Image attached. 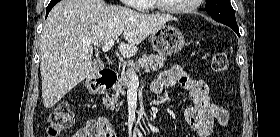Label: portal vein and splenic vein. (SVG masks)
<instances>
[{
    "instance_id": "1",
    "label": "portal vein and splenic vein",
    "mask_w": 280,
    "mask_h": 137,
    "mask_svg": "<svg viewBox=\"0 0 280 137\" xmlns=\"http://www.w3.org/2000/svg\"><path fill=\"white\" fill-rule=\"evenodd\" d=\"M114 43H115L114 40H111V41L105 43L103 46H101L102 51L107 53L114 46ZM94 45L97 47H100V44H98V43H95ZM138 81H139L138 75L136 73H132L130 76V82L138 83Z\"/></svg>"
}]
</instances>
